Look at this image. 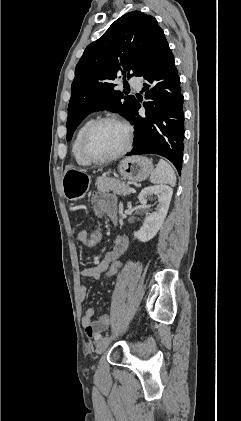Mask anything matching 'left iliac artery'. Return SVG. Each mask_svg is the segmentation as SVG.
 Wrapping results in <instances>:
<instances>
[{
    "mask_svg": "<svg viewBox=\"0 0 241 421\" xmlns=\"http://www.w3.org/2000/svg\"><path fill=\"white\" fill-rule=\"evenodd\" d=\"M100 338H102L100 335L96 337V339H100Z\"/></svg>",
    "mask_w": 241,
    "mask_h": 421,
    "instance_id": "left-iliac-artery-1",
    "label": "left iliac artery"
}]
</instances>
